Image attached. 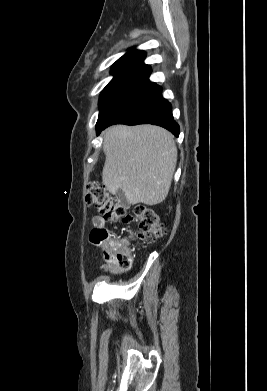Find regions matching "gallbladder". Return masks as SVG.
Masks as SVG:
<instances>
[{"instance_id": "1", "label": "gallbladder", "mask_w": 267, "mask_h": 391, "mask_svg": "<svg viewBox=\"0 0 267 391\" xmlns=\"http://www.w3.org/2000/svg\"><path fill=\"white\" fill-rule=\"evenodd\" d=\"M116 197L123 204L127 202L125 194H124V192L121 189L117 190Z\"/></svg>"}]
</instances>
